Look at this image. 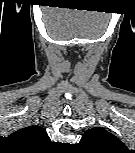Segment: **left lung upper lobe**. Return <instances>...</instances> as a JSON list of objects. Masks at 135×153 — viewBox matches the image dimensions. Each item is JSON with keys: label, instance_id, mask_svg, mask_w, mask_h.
Returning a JSON list of instances; mask_svg holds the SVG:
<instances>
[{"label": "left lung upper lobe", "instance_id": "5c2ea615", "mask_svg": "<svg viewBox=\"0 0 135 153\" xmlns=\"http://www.w3.org/2000/svg\"><path fill=\"white\" fill-rule=\"evenodd\" d=\"M79 146L91 153H120L126 150V146L117 137L99 127L87 130Z\"/></svg>", "mask_w": 135, "mask_h": 153}]
</instances>
